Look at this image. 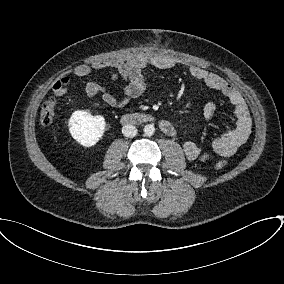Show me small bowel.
<instances>
[{
	"mask_svg": "<svg viewBox=\"0 0 284 284\" xmlns=\"http://www.w3.org/2000/svg\"><path fill=\"white\" fill-rule=\"evenodd\" d=\"M176 63L174 58L164 54H139L126 60L98 61L92 63L91 66L76 67L68 75L57 79L52 85V90L58 96L63 95L71 78L86 77L92 69L110 68L112 80L122 78L126 82L123 95L116 97L97 82H89L85 87V93L89 98L101 95L108 105L122 107L131 99L144 93L146 82L143 70L145 68L152 66L158 69H170ZM187 71L193 78L202 82L206 87L220 92L229 101L235 121L214 139L209 151L203 150L192 140L185 141L183 144L185 156L191 161H207L214 155L224 157L234 155L251 133L252 120L246 102L241 94L222 76L194 65L188 66ZM215 112L216 105L212 102L207 103L203 111L205 120H211Z\"/></svg>",
	"mask_w": 284,
	"mask_h": 284,
	"instance_id": "1",
	"label": "small bowel"
}]
</instances>
